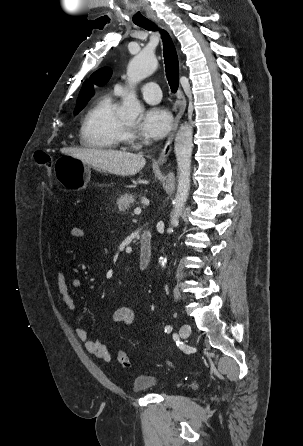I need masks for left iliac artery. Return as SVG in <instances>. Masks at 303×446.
Returning <instances> with one entry per match:
<instances>
[{
    "instance_id": "1",
    "label": "left iliac artery",
    "mask_w": 303,
    "mask_h": 446,
    "mask_svg": "<svg viewBox=\"0 0 303 446\" xmlns=\"http://www.w3.org/2000/svg\"><path fill=\"white\" fill-rule=\"evenodd\" d=\"M172 331V327L170 326V325H167L166 327H165V332L166 333H170Z\"/></svg>"
}]
</instances>
